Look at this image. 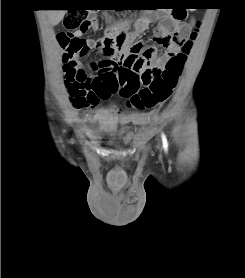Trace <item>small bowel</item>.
<instances>
[{"instance_id":"obj_1","label":"small bowel","mask_w":245,"mask_h":278,"mask_svg":"<svg viewBox=\"0 0 245 278\" xmlns=\"http://www.w3.org/2000/svg\"><path fill=\"white\" fill-rule=\"evenodd\" d=\"M90 18L95 19L94 15L91 14ZM107 22H111V16L105 15ZM151 19L159 20V29L155 32V42L166 48V57L175 54L177 49L172 43V37L174 33H179L180 36L186 37L194 28L195 22L191 19L189 22L185 20H176L171 12L166 10L164 7H158L153 12L150 18H144L137 21L136 29L137 33H142L148 27ZM93 30H97V26H94ZM74 37L83 38L84 31H76L73 34ZM90 49H100L103 52L104 59L95 63L94 70L96 75L93 77L97 84L96 92H104L105 95L99 97L100 100L109 99L113 96L109 92V79L111 77H119L129 72L141 73L148 66L156 67L158 69L164 68V61L153 54V47H148L144 51L149 52L148 58L145 56H137L134 53H130L127 44H118L111 34L100 38L91 39L87 41ZM119 48V54L116 53ZM121 67L122 71L117 72L118 68ZM78 70L84 71V66L80 63H76ZM65 85L67 82L65 81ZM97 102V103H98ZM96 103V104H97ZM112 118L106 114L100 115L96 121L95 126L90 130L93 134H98L104 129L108 128L112 124ZM150 121V114H139L125 119V122H135L141 124H147Z\"/></svg>"}]
</instances>
